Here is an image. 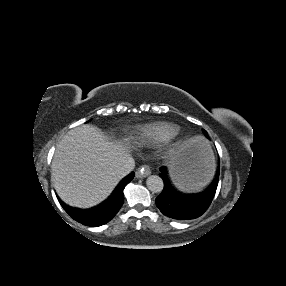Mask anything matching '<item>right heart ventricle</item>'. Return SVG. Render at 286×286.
Returning a JSON list of instances; mask_svg holds the SVG:
<instances>
[{
    "mask_svg": "<svg viewBox=\"0 0 286 286\" xmlns=\"http://www.w3.org/2000/svg\"><path fill=\"white\" fill-rule=\"evenodd\" d=\"M180 133L177 125L168 122H152L139 126L132 134V140L139 145L165 144Z\"/></svg>",
    "mask_w": 286,
    "mask_h": 286,
    "instance_id": "e07e8e85",
    "label": "right heart ventricle"
}]
</instances>
